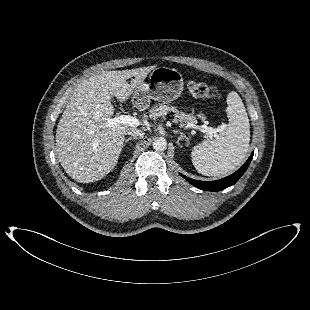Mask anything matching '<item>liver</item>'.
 <instances>
[{
    "mask_svg": "<svg viewBox=\"0 0 310 310\" xmlns=\"http://www.w3.org/2000/svg\"><path fill=\"white\" fill-rule=\"evenodd\" d=\"M154 68L105 71L82 81L74 90L56 130V152L66 173L77 182H95L116 166L125 134L135 129L107 127L114 114L113 97L126 101ZM135 77L129 84L126 80Z\"/></svg>",
    "mask_w": 310,
    "mask_h": 310,
    "instance_id": "obj_1",
    "label": "liver"
}]
</instances>
